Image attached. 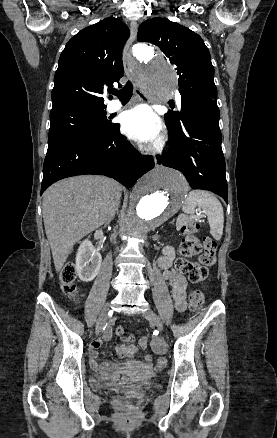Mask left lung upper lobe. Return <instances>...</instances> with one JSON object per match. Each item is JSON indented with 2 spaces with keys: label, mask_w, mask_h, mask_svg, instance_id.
I'll return each instance as SVG.
<instances>
[{
  "label": "left lung upper lobe",
  "mask_w": 277,
  "mask_h": 438,
  "mask_svg": "<svg viewBox=\"0 0 277 438\" xmlns=\"http://www.w3.org/2000/svg\"><path fill=\"white\" fill-rule=\"evenodd\" d=\"M138 41L157 45L165 58L176 65L179 75L181 111L165 114L167 128L175 133L185 107L206 99L217 100L214 67L208 48L202 38L178 23L165 18H151L143 22L137 34Z\"/></svg>",
  "instance_id": "obj_1"
}]
</instances>
